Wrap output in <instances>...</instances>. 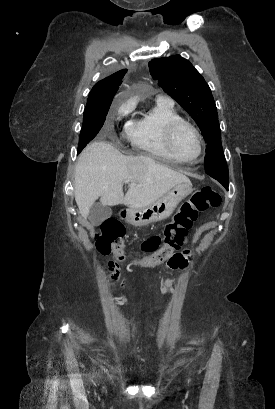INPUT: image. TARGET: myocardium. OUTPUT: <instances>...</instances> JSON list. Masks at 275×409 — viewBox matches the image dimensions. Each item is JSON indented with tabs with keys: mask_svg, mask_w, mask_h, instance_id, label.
Returning a JSON list of instances; mask_svg holds the SVG:
<instances>
[{
	"mask_svg": "<svg viewBox=\"0 0 275 409\" xmlns=\"http://www.w3.org/2000/svg\"><path fill=\"white\" fill-rule=\"evenodd\" d=\"M182 128H188L193 133L196 144H197V153L193 157H199L202 152V141H201L199 131L193 124L185 120L175 121L171 123L167 129L166 144H167L169 153L171 154L172 157H178L175 153L174 143H175V138H176L177 133Z\"/></svg>",
	"mask_w": 275,
	"mask_h": 409,
	"instance_id": "obj_1",
	"label": "myocardium"
}]
</instances>
